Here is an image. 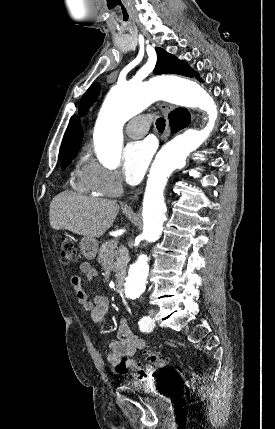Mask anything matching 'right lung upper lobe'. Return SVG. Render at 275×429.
Masks as SVG:
<instances>
[{
  "label": "right lung upper lobe",
  "mask_w": 275,
  "mask_h": 429,
  "mask_svg": "<svg viewBox=\"0 0 275 429\" xmlns=\"http://www.w3.org/2000/svg\"><path fill=\"white\" fill-rule=\"evenodd\" d=\"M83 137L81 125L79 121L73 117L70 121L60 149V154L62 157L77 154L80 143Z\"/></svg>",
  "instance_id": "1"
}]
</instances>
